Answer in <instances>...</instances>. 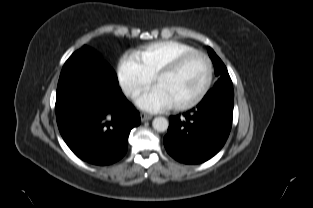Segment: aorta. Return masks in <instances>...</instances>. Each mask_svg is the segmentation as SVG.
<instances>
[{"instance_id": "1", "label": "aorta", "mask_w": 313, "mask_h": 208, "mask_svg": "<svg viewBox=\"0 0 313 208\" xmlns=\"http://www.w3.org/2000/svg\"><path fill=\"white\" fill-rule=\"evenodd\" d=\"M153 128L158 132H164L168 129L169 122L164 117H156L152 122Z\"/></svg>"}]
</instances>
